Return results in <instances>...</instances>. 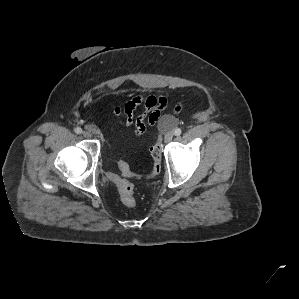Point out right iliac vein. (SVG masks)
<instances>
[{
    "label": "right iliac vein",
    "mask_w": 299,
    "mask_h": 299,
    "mask_svg": "<svg viewBox=\"0 0 299 299\" xmlns=\"http://www.w3.org/2000/svg\"><path fill=\"white\" fill-rule=\"evenodd\" d=\"M82 134H83V136L86 137V138H91V137H92V133L89 132V131H84Z\"/></svg>",
    "instance_id": "1"
}]
</instances>
